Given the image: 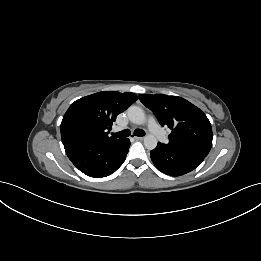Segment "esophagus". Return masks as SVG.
<instances>
[{"label": "esophagus", "mask_w": 261, "mask_h": 261, "mask_svg": "<svg viewBox=\"0 0 261 261\" xmlns=\"http://www.w3.org/2000/svg\"><path fill=\"white\" fill-rule=\"evenodd\" d=\"M134 139H135L136 141H142V140H143V137L134 136Z\"/></svg>", "instance_id": "34e87169"}]
</instances>
